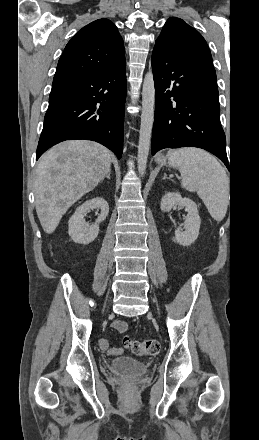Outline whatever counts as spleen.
<instances>
[{
  "instance_id": "3e777b00",
  "label": "spleen",
  "mask_w": 259,
  "mask_h": 440,
  "mask_svg": "<svg viewBox=\"0 0 259 440\" xmlns=\"http://www.w3.org/2000/svg\"><path fill=\"white\" fill-rule=\"evenodd\" d=\"M168 163L181 173V185L197 192L216 221H221L229 203V178L218 160L208 152L187 147L171 151Z\"/></svg>"
}]
</instances>
